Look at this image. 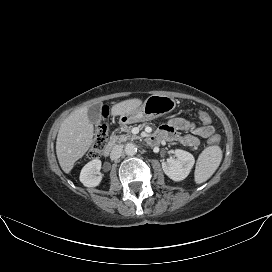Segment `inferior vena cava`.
Wrapping results in <instances>:
<instances>
[{"instance_id": "obj_1", "label": "inferior vena cava", "mask_w": 272, "mask_h": 272, "mask_svg": "<svg viewBox=\"0 0 272 272\" xmlns=\"http://www.w3.org/2000/svg\"><path fill=\"white\" fill-rule=\"evenodd\" d=\"M123 151V146L122 145H116L113 147L111 153H110V159L111 160H116L118 159Z\"/></svg>"}]
</instances>
